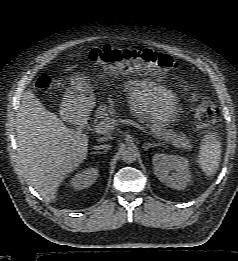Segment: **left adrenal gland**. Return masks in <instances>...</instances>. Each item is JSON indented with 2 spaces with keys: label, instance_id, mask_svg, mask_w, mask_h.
<instances>
[{
  "label": "left adrenal gland",
  "instance_id": "left-adrenal-gland-1",
  "mask_svg": "<svg viewBox=\"0 0 238 261\" xmlns=\"http://www.w3.org/2000/svg\"><path fill=\"white\" fill-rule=\"evenodd\" d=\"M161 145H162V143H145L143 148L146 151L151 147H156V146H161Z\"/></svg>",
  "mask_w": 238,
  "mask_h": 261
}]
</instances>
